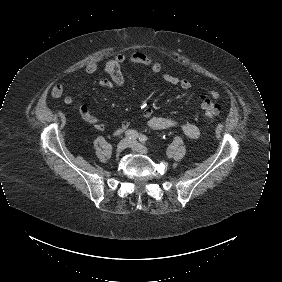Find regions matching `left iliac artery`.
<instances>
[{
    "label": "left iliac artery",
    "mask_w": 282,
    "mask_h": 282,
    "mask_svg": "<svg viewBox=\"0 0 282 282\" xmlns=\"http://www.w3.org/2000/svg\"><path fill=\"white\" fill-rule=\"evenodd\" d=\"M140 142L145 143L147 141V137L145 135H141L139 137Z\"/></svg>",
    "instance_id": "44dca946"
}]
</instances>
